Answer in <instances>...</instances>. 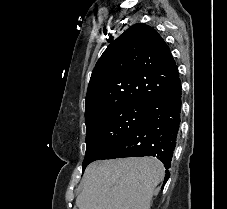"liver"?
<instances>
[{
  "mask_svg": "<svg viewBox=\"0 0 227 209\" xmlns=\"http://www.w3.org/2000/svg\"><path fill=\"white\" fill-rule=\"evenodd\" d=\"M163 165L154 157L94 161L85 169L78 209H150Z\"/></svg>",
  "mask_w": 227,
  "mask_h": 209,
  "instance_id": "6515ba94",
  "label": "liver"
}]
</instances>
